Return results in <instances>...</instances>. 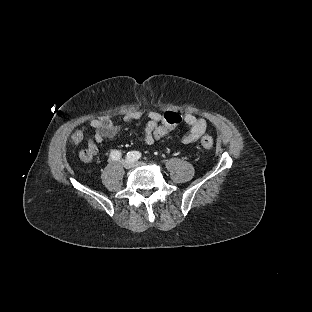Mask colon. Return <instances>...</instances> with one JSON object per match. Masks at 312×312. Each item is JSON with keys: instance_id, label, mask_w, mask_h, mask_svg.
Masks as SVG:
<instances>
[{"instance_id": "colon-1", "label": "colon", "mask_w": 312, "mask_h": 312, "mask_svg": "<svg viewBox=\"0 0 312 312\" xmlns=\"http://www.w3.org/2000/svg\"><path fill=\"white\" fill-rule=\"evenodd\" d=\"M182 120L181 114H176L174 112L165 111L164 112V123L161 126L155 128L153 135L155 138L160 139L166 133H171L174 129V126L178 124L179 121ZM82 137L81 131H75L74 135L71 136L72 142H77L78 138ZM201 145L204 149H211L214 145L213 139L209 136H204L201 139Z\"/></svg>"}]
</instances>
